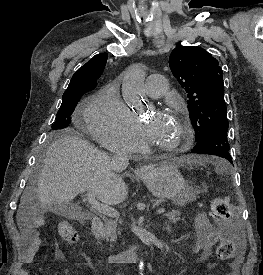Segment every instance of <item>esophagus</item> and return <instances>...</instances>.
<instances>
[{
    "mask_svg": "<svg viewBox=\"0 0 263 275\" xmlns=\"http://www.w3.org/2000/svg\"><path fill=\"white\" fill-rule=\"evenodd\" d=\"M147 169H148L147 166H141V167L138 168V172H144V171H146Z\"/></svg>",
    "mask_w": 263,
    "mask_h": 275,
    "instance_id": "obj_1",
    "label": "esophagus"
}]
</instances>
